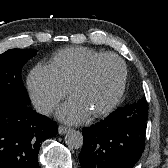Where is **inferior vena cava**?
I'll return each instance as SVG.
<instances>
[{
  "mask_svg": "<svg viewBox=\"0 0 168 168\" xmlns=\"http://www.w3.org/2000/svg\"><path fill=\"white\" fill-rule=\"evenodd\" d=\"M36 111L43 115H48L52 111V105L49 103H40L35 106Z\"/></svg>",
  "mask_w": 168,
  "mask_h": 168,
  "instance_id": "1",
  "label": "inferior vena cava"
}]
</instances>
